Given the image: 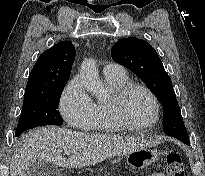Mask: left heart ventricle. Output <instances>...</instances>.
<instances>
[{"label": "left heart ventricle", "instance_id": "1", "mask_svg": "<svg viewBox=\"0 0 205 176\" xmlns=\"http://www.w3.org/2000/svg\"><path fill=\"white\" fill-rule=\"evenodd\" d=\"M127 117L135 123L149 122L153 117V105L146 93L134 91L125 102Z\"/></svg>", "mask_w": 205, "mask_h": 176}]
</instances>
